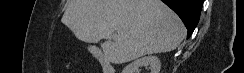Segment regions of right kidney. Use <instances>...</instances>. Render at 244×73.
<instances>
[{"label":"right kidney","instance_id":"1","mask_svg":"<svg viewBox=\"0 0 244 73\" xmlns=\"http://www.w3.org/2000/svg\"><path fill=\"white\" fill-rule=\"evenodd\" d=\"M143 66L146 68L148 67L150 73H159L161 68V63L158 57L156 56H145L127 65L123 69L122 73H138L139 68Z\"/></svg>","mask_w":244,"mask_h":73}]
</instances>
